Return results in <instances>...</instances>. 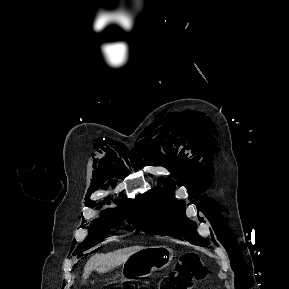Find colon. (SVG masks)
Here are the masks:
<instances>
[{"instance_id": "colon-1", "label": "colon", "mask_w": 289, "mask_h": 289, "mask_svg": "<svg viewBox=\"0 0 289 289\" xmlns=\"http://www.w3.org/2000/svg\"><path fill=\"white\" fill-rule=\"evenodd\" d=\"M207 275L206 267L200 263L196 253H186L178 263L173 275L165 280L161 289H192ZM106 289H136L135 284L110 285Z\"/></svg>"}]
</instances>
